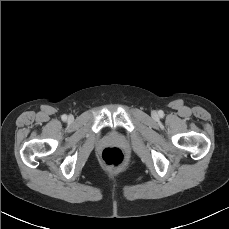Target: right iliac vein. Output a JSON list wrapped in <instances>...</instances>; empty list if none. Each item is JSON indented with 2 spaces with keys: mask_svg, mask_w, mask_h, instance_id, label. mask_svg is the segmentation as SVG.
Masks as SVG:
<instances>
[{
  "mask_svg": "<svg viewBox=\"0 0 229 229\" xmlns=\"http://www.w3.org/2000/svg\"><path fill=\"white\" fill-rule=\"evenodd\" d=\"M69 120H72V116H69Z\"/></svg>",
  "mask_w": 229,
  "mask_h": 229,
  "instance_id": "right-iliac-vein-1",
  "label": "right iliac vein"
}]
</instances>
